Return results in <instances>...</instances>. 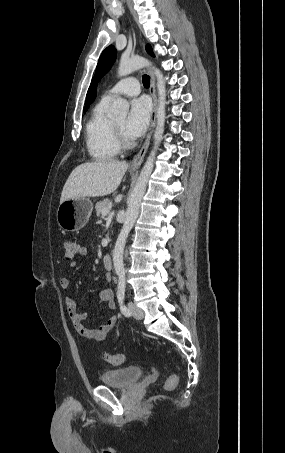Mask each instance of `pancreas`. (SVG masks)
Returning <instances> with one entry per match:
<instances>
[{
    "label": "pancreas",
    "mask_w": 285,
    "mask_h": 453,
    "mask_svg": "<svg viewBox=\"0 0 285 453\" xmlns=\"http://www.w3.org/2000/svg\"><path fill=\"white\" fill-rule=\"evenodd\" d=\"M111 206V202L108 199H104L102 201H99L95 205V210H96V215L97 217L102 214V211L105 209H109Z\"/></svg>",
    "instance_id": "cf45deb5"
}]
</instances>
